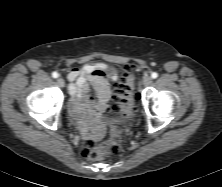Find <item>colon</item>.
I'll use <instances>...</instances> for the list:
<instances>
[{
  "mask_svg": "<svg viewBox=\"0 0 222 187\" xmlns=\"http://www.w3.org/2000/svg\"><path fill=\"white\" fill-rule=\"evenodd\" d=\"M133 84L132 68H126V73L122 84L111 97L110 109L114 113H120L125 108L131 107L132 98L130 95ZM124 148L121 140H105L97 143L93 139H88L83 146V157L90 160H101L110 155L119 154Z\"/></svg>",
  "mask_w": 222,
  "mask_h": 187,
  "instance_id": "colon-1",
  "label": "colon"
}]
</instances>
